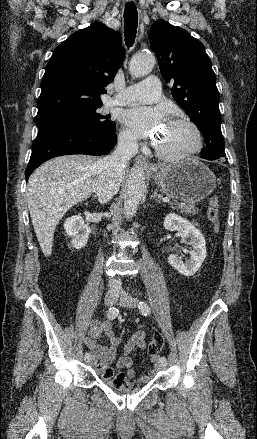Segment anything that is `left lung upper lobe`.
Listing matches in <instances>:
<instances>
[{
	"label": "left lung upper lobe",
	"mask_w": 257,
	"mask_h": 439,
	"mask_svg": "<svg viewBox=\"0 0 257 439\" xmlns=\"http://www.w3.org/2000/svg\"><path fill=\"white\" fill-rule=\"evenodd\" d=\"M149 42L163 78L173 84V98L203 134L206 149L201 151V157H225L219 93L204 45L186 30L166 21L152 24Z\"/></svg>",
	"instance_id": "1"
}]
</instances>
